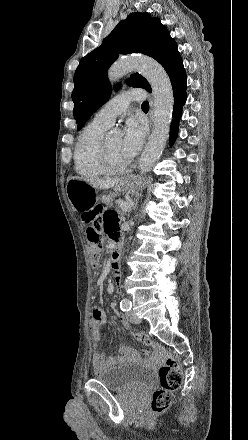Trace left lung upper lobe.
Wrapping results in <instances>:
<instances>
[{
    "mask_svg": "<svg viewBox=\"0 0 248 440\" xmlns=\"http://www.w3.org/2000/svg\"><path fill=\"white\" fill-rule=\"evenodd\" d=\"M128 53L151 56L165 68L171 81L186 75L177 44L160 20L148 13H131L119 22L101 46L81 59L76 69L72 100L77 130L110 97L112 87L107 79V69L119 54ZM128 84L151 92L147 80L138 73L131 75Z\"/></svg>",
    "mask_w": 248,
    "mask_h": 440,
    "instance_id": "obj_1",
    "label": "left lung upper lobe"
}]
</instances>
